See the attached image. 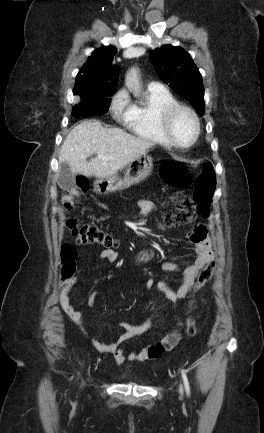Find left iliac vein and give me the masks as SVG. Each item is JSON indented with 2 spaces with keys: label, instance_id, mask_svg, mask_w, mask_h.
Segmentation results:
<instances>
[{
  "label": "left iliac vein",
  "instance_id": "obj_1",
  "mask_svg": "<svg viewBox=\"0 0 264 433\" xmlns=\"http://www.w3.org/2000/svg\"><path fill=\"white\" fill-rule=\"evenodd\" d=\"M179 393L182 395L183 394V388L181 386V384L179 385Z\"/></svg>",
  "mask_w": 264,
  "mask_h": 433
}]
</instances>
